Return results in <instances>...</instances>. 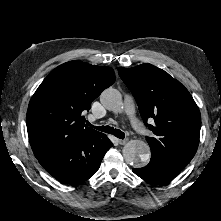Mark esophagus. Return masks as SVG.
I'll return each instance as SVG.
<instances>
[{
	"label": "esophagus",
	"instance_id": "1",
	"mask_svg": "<svg viewBox=\"0 0 221 221\" xmlns=\"http://www.w3.org/2000/svg\"><path fill=\"white\" fill-rule=\"evenodd\" d=\"M118 142L120 145H125L128 142V139H119Z\"/></svg>",
	"mask_w": 221,
	"mask_h": 221
}]
</instances>
